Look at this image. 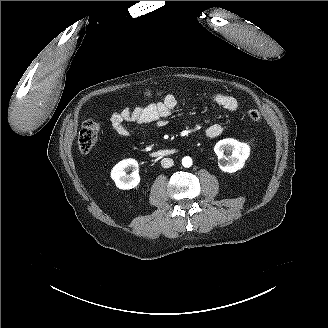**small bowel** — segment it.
<instances>
[{
    "mask_svg": "<svg viewBox=\"0 0 328 328\" xmlns=\"http://www.w3.org/2000/svg\"><path fill=\"white\" fill-rule=\"evenodd\" d=\"M210 100L229 112H235L239 108L238 100L227 94L215 93L210 96ZM179 101L174 94H168L164 100L157 103L139 106L136 108L126 107L120 111H114L110 115L112 129L122 137L131 135L127 124L137 125L152 124L157 128L164 127L167 119L177 108ZM223 132L220 124H212L206 129V136L210 139L219 137Z\"/></svg>",
    "mask_w": 328,
    "mask_h": 328,
    "instance_id": "small-bowel-1",
    "label": "small bowel"
}]
</instances>
